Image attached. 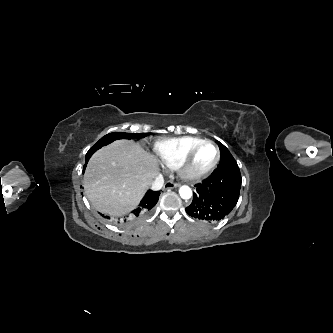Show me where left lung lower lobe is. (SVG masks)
Returning <instances> with one entry per match:
<instances>
[{"label": "left lung lower lobe", "instance_id": "0a47b994", "mask_svg": "<svg viewBox=\"0 0 333 333\" xmlns=\"http://www.w3.org/2000/svg\"><path fill=\"white\" fill-rule=\"evenodd\" d=\"M241 182L237 164L215 169L207 179L195 185L187 214L205 222L224 219L237 204Z\"/></svg>", "mask_w": 333, "mask_h": 333}]
</instances>
